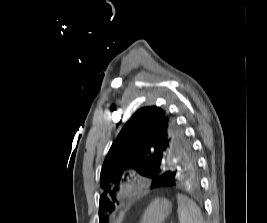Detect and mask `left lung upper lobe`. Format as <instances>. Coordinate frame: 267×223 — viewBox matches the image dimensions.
Here are the masks:
<instances>
[{"mask_svg": "<svg viewBox=\"0 0 267 223\" xmlns=\"http://www.w3.org/2000/svg\"><path fill=\"white\" fill-rule=\"evenodd\" d=\"M151 178L166 171H197L193 149L175 118L160 107L139 109L124 125L102 166L100 223L115 206L111 197L126 180L129 170Z\"/></svg>", "mask_w": 267, "mask_h": 223, "instance_id": "obj_1", "label": "left lung upper lobe"}]
</instances>
